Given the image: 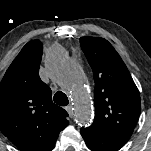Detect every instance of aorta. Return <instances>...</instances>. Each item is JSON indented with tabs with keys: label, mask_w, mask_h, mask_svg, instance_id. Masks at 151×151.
I'll use <instances>...</instances> for the list:
<instances>
[{
	"label": "aorta",
	"mask_w": 151,
	"mask_h": 151,
	"mask_svg": "<svg viewBox=\"0 0 151 151\" xmlns=\"http://www.w3.org/2000/svg\"><path fill=\"white\" fill-rule=\"evenodd\" d=\"M76 65L70 62L64 49L56 46L50 53V73L73 85L71 95L75 107V117L82 126H87L92 120V111L88 93L76 82Z\"/></svg>",
	"instance_id": "obj_1"
}]
</instances>
